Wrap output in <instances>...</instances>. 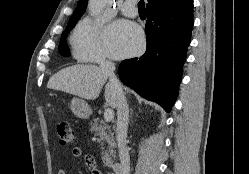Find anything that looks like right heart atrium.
Instances as JSON below:
<instances>
[{
    "mask_svg": "<svg viewBox=\"0 0 249 174\" xmlns=\"http://www.w3.org/2000/svg\"><path fill=\"white\" fill-rule=\"evenodd\" d=\"M104 23L99 19L85 18L76 27L73 37V53L81 62L105 63L109 61L104 42Z\"/></svg>",
    "mask_w": 249,
    "mask_h": 174,
    "instance_id": "right-heart-atrium-1",
    "label": "right heart atrium"
}]
</instances>
